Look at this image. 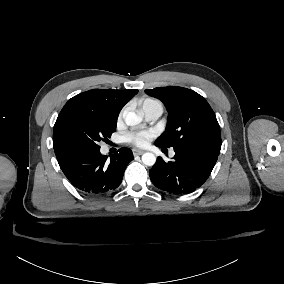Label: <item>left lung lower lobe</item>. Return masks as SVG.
Segmentation results:
<instances>
[{
  "mask_svg": "<svg viewBox=\"0 0 284 284\" xmlns=\"http://www.w3.org/2000/svg\"><path fill=\"white\" fill-rule=\"evenodd\" d=\"M158 147H165L156 143ZM173 161L158 157L149 170L152 183L172 194H188L199 188L209 177L216 164L217 155L206 150L174 146Z\"/></svg>",
  "mask_w": 284,
  "mask_h": 284,
  "instance_id": "0a47b994",
  "label": "left lung lower lobe"
}]
</instances>
